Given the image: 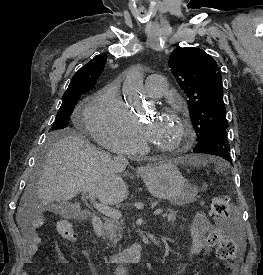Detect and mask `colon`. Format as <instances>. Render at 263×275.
<instances>
[{
	"label": "colon",
	"instance_id": "5ec220e1",
	"mask_svg": "<svg viewBox=\"0 0 263 275\" xmlns=\"http://www.w3.org/2000/svg\"><path fill=\"white\" fill-rule=\"evenodd\" d=\"M210 215L216 221H225L230 216V203L226 196H217L211 202ZM59 235L67 241L76 239V232L66 221L57 223ZM212 246L216 247V256L221 261L231 264L236 254V245L233 240L216 231L210 238Z\"/></svg>",
	"mask_w": 263,
	"mask_h": 275
}]
</instances>
